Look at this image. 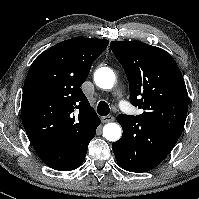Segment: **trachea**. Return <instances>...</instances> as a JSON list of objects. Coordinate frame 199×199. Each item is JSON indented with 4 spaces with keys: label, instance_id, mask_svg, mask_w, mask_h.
<instances>
[{
    "label": "trachea",
    "instance_id": "obj_1",
    "mask_svg": "<svg viewBox=\"0 0 199 199\" xmlns=\"http://www.w3.org/2000/svg\"><path fill=\"white\" fill-rule=\"evenodd\" d=\"M97 112L101 116H107L110 113L109 105L105 101H100L97 106Z\"/></svg>",
    "mask_w": 199,
    "mask_h": 199
}]
</instances>
